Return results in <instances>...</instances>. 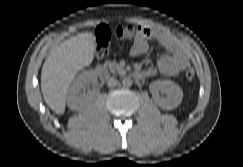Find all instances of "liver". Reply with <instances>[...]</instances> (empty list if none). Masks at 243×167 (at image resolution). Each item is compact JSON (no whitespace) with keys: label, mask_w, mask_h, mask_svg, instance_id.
Returning <instances> with one entry per match:
<instances>
[{"label":"liver","mask_w":243,"mask_h":167,"mask_svg":"<svg viewBox=\"0 0 243 167\" xmlns=\"http://www.w3.org/2000/svg\"><path fill=\"white\" fill-rule=\"evenodd\" d=\"M95 37L80 33L51 51L41 71V90L46 104L56 114L65 111L69 86L77 72L89 66L94 57Z\"/></svg>","instance_id":"1"}]
</instances>
